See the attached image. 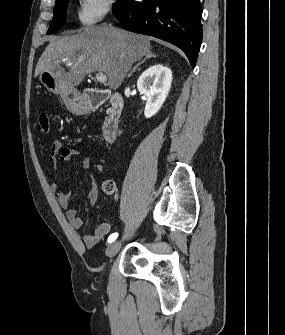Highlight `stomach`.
Instances as JSON below:
<instances>
[{"instance_id":"0dacf381","label":"stomach","mask_w":285,"mask_h":335,"mask_svg":"<svg viewBox=\"0 0 285 335\" xmlns=\"http://www.w3.org/2000/svg\"><path fill=\"white\" fill-rule=\"evenodd\" d=\"M39 80L41 84L45 86L46 90H49L52 94H59L61 98H65L68 106H71L73 112H84V110H86L84 96H82L78 90L69 88L64 80L58 78L55 72H51V70H42L39 74Z\"/></svg>"}]
</instances>
